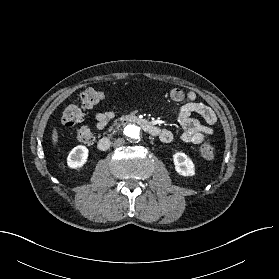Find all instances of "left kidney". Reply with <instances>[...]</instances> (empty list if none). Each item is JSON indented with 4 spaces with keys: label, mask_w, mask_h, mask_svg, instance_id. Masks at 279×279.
Here are the masks:
<instances>
[{
    "label": "left kidney",
    "mask_w": 279,
    "mask_h": 279,
    "mask_svg": "<svg viewBox=\"0 0 279 279\" xmlns=\"http://www.w3.org/2000/svg\"><path fill=\"white\" fill-rule=\"evenodd\" d=\"M173 162L176 172L181 176H193L195 174V166L193 161L182 152L173 155Z\"/></svg>",
    "instance_id": "left-kidney-1"
}]
</instances>
